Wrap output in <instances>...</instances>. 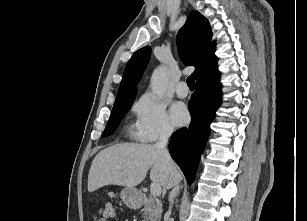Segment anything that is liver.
Here are the masks:
<instances>
[{
	"label": "liver",
	"mask_w": 307,
	"mask_h": 221,
	"mask_svg": "<svg viewBox=\"0 0 307 221\" xmlns=\"http://www.w3.org/2000/svg\"><path fill=\"white\" fill-rule=\"evenodd\" d=\"M150 171V180L167 190L178 184L182 174L173 162L170 167L156 144L122 143L101 150L88 175V191L113 184L135 187Z\"/></svg>",
	"instance_id": "6515ba94"
}]
</instances>
